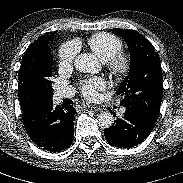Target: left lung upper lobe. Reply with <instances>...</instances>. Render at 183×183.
Instances as JSON below:
<instances>
[{
    "label": "left lung upper lobe",
    "mask_w": 183,
    "mask_h": 183,
    "mask_svg": "<svg viewBox=\"0 0 183 183\" xmlns=\"http://www.w3.org/2000/svg\"><path fill=\"white\" fill-rule=\"evenodd\" d=\"M126 41L131 53L128 76L121 82L117 95L121 105L134 107L157 118L163 94L160 59L152 44L134 30L112 29Z\"/></svg>",
    "instance_id": "left-lung-upper-lobe-1"
}]
</instances>
